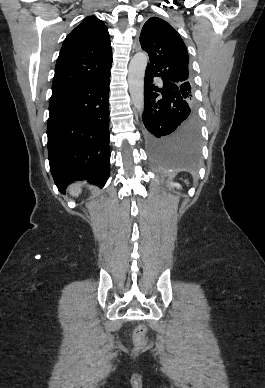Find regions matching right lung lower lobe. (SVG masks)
<instances>
[{"instance_id":"right-lung-lower-lobe-1","label":"right lung lower lobe","mask_w":265,"mask_h":388,"mask_svg":"<svg viewBox=\"0 0 265 388\" xmlns=\"http://www.w3.org/2000/svg\"><path fill=\"white\" fill-rule=\"evenodd\" d=\"M110 75L50 98L49 162L61 193L76 180L87 179L102 187L109 178Z\"/></svg>"}]
</instances>
